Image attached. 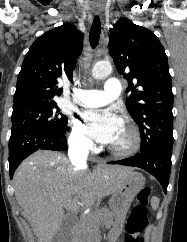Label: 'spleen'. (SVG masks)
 Instances as JSON below:
<instances>
[{
    "label": "spleen",
    "instance_id": "1",
    "mask_svg": "<svg viewBox=\"0 0 187 242\" xmlns=\"http://www.w3.org/2000/svg\"><path fill=\"white\" fill-rule=\"evenodd\" d=\"M151 206H152V209L156 210L159 206V199L156 197L152 198Z\"/></svg>",
    "mask_w": 187,
    "mask_h": 242
}]
</instances>
